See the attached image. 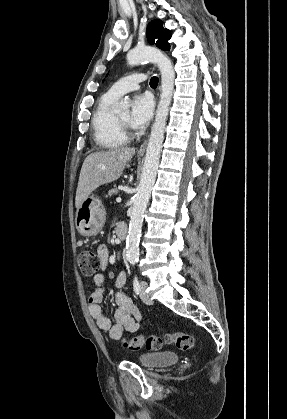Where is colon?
<instances>
[{
	"instance_id": "1",
	"label": "colon",
	"mask_w": 287,
	"mask_h": 419,
	"mask_svg": "<svg viewBox=\"0 0 287 419\" xmlns=\"http://www.w3.org/2000/svg\"><path fill=\"white\" fill-rule=\"evenodd\" d=\"M78 262L81 272L85 276L94 275L102 263L101 258L90 250H82L78 256ZM168 344L175 345L179 350L188 351L193 347V338L183 332H174L164 336H135L125 340L123 347L132 351H138L144 347L148 350H159Z\"/></svg>"
}]
</instances>
